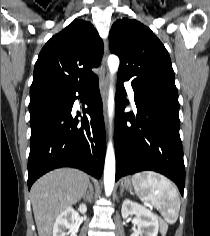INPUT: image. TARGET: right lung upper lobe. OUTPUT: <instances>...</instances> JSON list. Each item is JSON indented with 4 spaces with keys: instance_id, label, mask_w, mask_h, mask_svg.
<instances>
[{
    "instance_id": "1",
    "label": "right lung upper lobe",
    "mask_w": 210,
    "mask_h": 236,
    "mask_svg": "<svg viewBox=\"0 0 210 236\" xmlns=\"http://www.w3.org/2000/svg\"><path fill=\"white\" fill-rule=\"evenodd\" d=\"M103 55V42L90 22L74 20L54 35L41 50L34 67L30 97L41 89L69 92L96 75Z\"/></svg>"
}]
</instances>
